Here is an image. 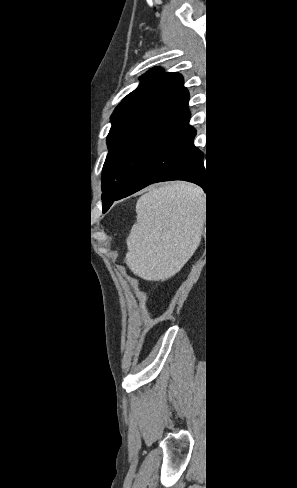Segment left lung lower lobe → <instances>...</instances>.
<instances>
[{
    "label": "left lung lower lobe",
    "instance_id": "obj_1",
    "mask_svg": "<svg viewBox=\"0 0 297 488\" xmlns=\"http://www.w3.org/2000/svg\"><path fill=\"white\" fill-rule=\"evenodd\" d=\"M196 130L187 126L161 147L134 175L121 193L103 209L106 212L115 200L127 197L156 182L185 180L207 192V169L203 153L193 145Z\"/></svg>",
    "mask_w": 297,
    "mask_h": 488
}]
</instances>
